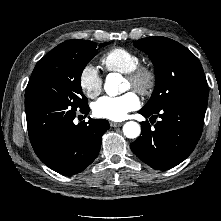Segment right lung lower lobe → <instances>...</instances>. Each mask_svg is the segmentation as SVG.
Listing matches in <instances>:
<instances>
[{"label":"right lung lower lobe","instance_id":"1","mask_svg":"<svg viewBox=\"0 0 221 221\" xmlns=\"http://www.w3.org/2000/svg\"><path fill=\"white\" fill-rule=\"evenodd\" d=\"M29 138L40 160L52 170L73 175L97 157L102 135L109 129L103 119L73 123L76 111L88 114V105L73 109L53 100L25 98Z\"/></svg>","mask_w":221,"mask_h":221}]
</instances>
